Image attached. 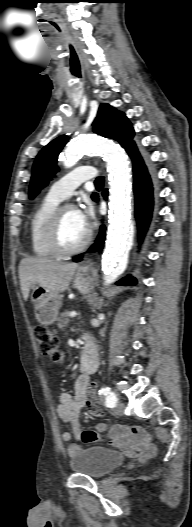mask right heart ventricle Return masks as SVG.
Returning <instances> with one entry per match:
<instances>
[{
    "instance_id": "e07e8e85",
    "label": "right heart ventricle",
    "mask_w": 192,
    "mask_h": 527,
    "mask_svg": "<svg viewBox=\"0 0 192 527\" xmlns=\"http://www.w3.org/2000/svg\"><path fill=\"white\" fill-rule=\"evenodd\" d=\"M61 200L47 195L33 213L30 225V244L32 252L40 258H52L57 254L48 242V230L51 219Z\"/></svg>"
}]
</instances>
